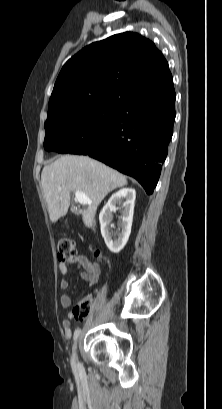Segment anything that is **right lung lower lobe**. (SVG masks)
Segmentation results:
<instances>
[{"mask_svg":"<svg viewBox=\"0 0 222 409\" xmlns=\"http://www.w3.org/2000/svg\"><path fill=\"white\" fill-rule=\"evenodd\" d=\"M169 89L118 105L103 144L86 155L129 175L152 194L168 153L175 120L171 73L163 76Z\"/></svg>","mask_w":222,"mask_h":409,"instance_id":"right-lung-lower-lobe-1","label":"right lung lower lobe"}]
</instances>
